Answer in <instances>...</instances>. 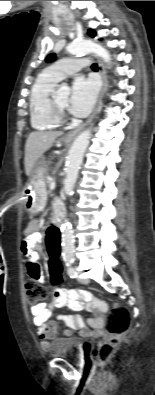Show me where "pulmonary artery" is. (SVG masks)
Segmentation results:
<instances>
[{
  "label": "pulmonary artery",
  "instance_id": "obj_1",
  "mask_svg": "<svg viewBox=\"0 0 155 395\" xmlns=\"http://www.w3.org/2000/svg\"><path fill=\"white\" fill-rule=\"evenodd\" d=\"M86 66H88V60L85 58H66L49 66L46 72L55 80L60 81L67 76L75 74Z\"/></svg>",
  "mask_w": 155,
  "mask_h": 395
}]
</instances>
